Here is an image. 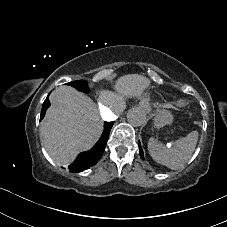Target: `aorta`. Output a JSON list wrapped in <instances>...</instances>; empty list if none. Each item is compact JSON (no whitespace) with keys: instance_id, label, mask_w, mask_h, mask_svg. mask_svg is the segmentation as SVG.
<instances>
[{"instance_id":"obj_1","label":"aorta","mask_w":227,"mask_h":227,"mask_svg":"<svg viewBox=\"0 0 227 227\" xmlns=\"http://www.w3.org/2000/svg\"><path fill=\"white\" fill-rule=\"evenodd\" d=\"M127 120L132 126H141L147 122V114L145 110L134 107L128 110Z\"/></svg>"}]
</instances>
